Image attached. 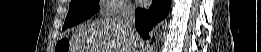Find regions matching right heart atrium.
<instances>
[{
    "label": "right heart atrium",
    "mask_w": 261,
    "mask_h": 52,
    "mask_svg": "<svg viewBox=\"0 0 261 52\" xmlns=\"http://www.w3.org/2000/svg\"><path fill=\"white\" fill-rule=\"evenodd\" d=\"M101 4L105 16H123L130 12V5L125 0H103Z\"/></svg>",
    "instance_id": "right-heart-atrium-1"
}]
</instances>
